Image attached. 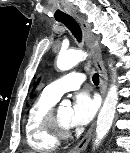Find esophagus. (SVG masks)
<instances>
[{"mask_svg":"<svg viewBox=\"0 0 130 153\" xmlns=\"http://www.w3.org/2000/svg\"><path fill=\"white\" fill-rule=\"evenodd\" d=\"M75 17L77 18V20L79 21L81 25L86 44L91 51L92 59L99 72L100 92H101L102 98L104 99L106 90H107L108 76L101 58L99 42L96 39L95 35L93 34L90 24L81 16L76 15ZM94 127H95V123L91 125V127L89 128L87 133L84 135L82 140L73 149L70 150V153H81L86 149L92 137Z\"/></svg>","mask_w":130,"mask_h":153,"instance_id":"esophagus-1","label":"esophagus"}]
</instances>
